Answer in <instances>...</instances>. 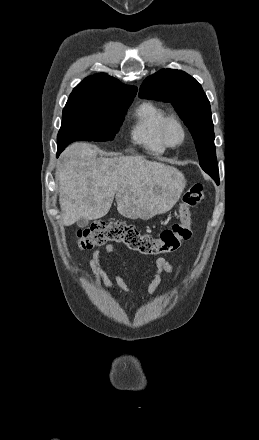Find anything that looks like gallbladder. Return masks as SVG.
<instances>
[{"label":"gallbladder","mask_w":259,"mask_h":440,"mask_svg":"<svg viewBox=\"0 0 259 440\" xmlns=\"http://www.w3.org/2000/svg\"><path fill=\"white\" fill-rule=\"evenodd\" d=\"M76 223L78 227L84 228L89 224V220L85 218H80Z\"/></svg>","instance_id":"1"}]
</instances>
